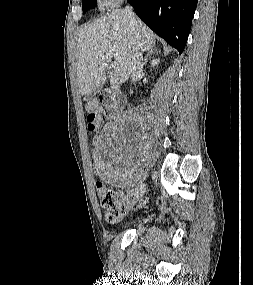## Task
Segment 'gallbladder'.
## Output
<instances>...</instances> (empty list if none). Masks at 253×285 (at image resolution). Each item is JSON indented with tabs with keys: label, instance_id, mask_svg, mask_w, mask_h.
<instances>
[{
	"label": "gallbladder",
	"instance_id": "1",
	"mask_svg": "<svg viewBox=\"0 0 253 285\" xmlns=\"http://www.w3.org/2000/svg\"><path fill=\"white\" fill-rule=\"evenodd\" d=\"M108 74H109V72L106 71L103 78L105 79V78L108 76ZM102 84H103V79H102V81L99 83V85H97V86L92 90V92L90 93L89 96H94L96 93H98V92L100 91L101 87H102Z\"/></svg>",
	"mask_w": 253,
	"mask_h": 285
}]
</instances>
